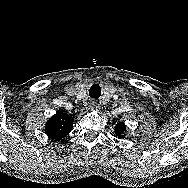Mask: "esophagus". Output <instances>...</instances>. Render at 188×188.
<instances>
[{
  "mask_svg": "<svg viewBox=\"0 0 188 188\" xmlns=\"http://www.w3.org/2000/svg\"><path fill=\"white\" fill-rule=\"evenodd\" d=\"M89 107L91 110H98L100 109V104L97 101L92 100Z\"/></svg>",
  "mask_w": 188,
  "mask_h": 188,
  "instance_id": "34e87169",
  "label": "esophagus"
}]
</instances>
